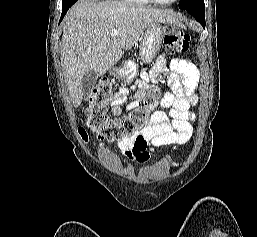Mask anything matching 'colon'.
Segmentation results:
<instances>
[{"label": "colon", "instance_id": "5ec220e1", "mask_svg": "<svg viewBox=\"0 0 257 237\" xmlns=\"http://www.w3.org/2000/svg\"><path fill=\"white\" fill-rule=\"evenodd\" d=\"M190 35L178 28L167 30L164 44L172 53L186 54L190 46ZM165 76H161L164 80ZM115 83L109 78L101 79L93 88L89 96V106L86 110L87 126L96 133L97 137L106 141H120L132 137L142 129L148 114L155 110L159 103L160 91L153 87L144 98L143 107L135 110L130 115L111 119L109 116V104L114 100ZM82 139L87 138L84 127L78 128Z\"/></svg>", "mask_w": 257, "mask_h": 237}]
</instances>
